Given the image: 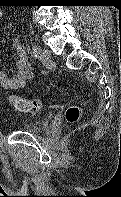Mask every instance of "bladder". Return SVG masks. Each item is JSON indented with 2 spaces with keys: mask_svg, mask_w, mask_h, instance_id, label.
I'll return each instance as SVG.
<instances>
[{
  "mask_svg": "<svg viewBox=\"0 0 121 197\" xmlns=\"http://www.w3.org/2000/svg\"><path fill=\"white\" fill-rule=\"evenodd\" d=\"M48 124H49V117L41 116L39 118H35L27 122L23 127V129L25 131H38L48 126Z\"/></svg>",
  "mask_w": 121,
  "mask_h": 197,
  "instance_id": "bladder-1",
  "label": "bladder"
}]
</instances>
